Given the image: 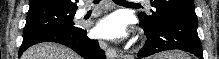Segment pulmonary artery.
<instances>
[{"label": "pulmonary artery", "instance_id": "e3ab8cb5", "mask_svg": "<svg viewBox=\"0 0 219 59\" xmlns=\"http://www.w3.org/2000/svg\"><path fill=\"white\" fill-rule=\"evenodd\" d=\"M87 11H88L87 8H82L81 11H80V14L84 15Z\"/></svg>", "mask_w": 219, "mask_h": 59}]
</instances>
